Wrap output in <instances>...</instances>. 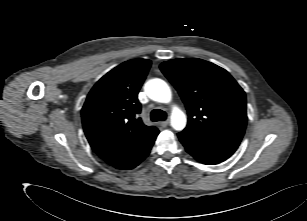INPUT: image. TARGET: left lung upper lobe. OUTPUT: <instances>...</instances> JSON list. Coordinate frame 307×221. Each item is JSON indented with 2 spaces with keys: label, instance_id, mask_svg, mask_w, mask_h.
Listing matches in <instances>:
<instances>
[{
  "label": "left lung upper lobe",
  "instance_id": "5c2ea615",
  "mask_svg": "<svg viewBox=\"0 0 307 221\" xmlns=\"http://www.w3.org/2000/svg\"><path fill=\"white\" fill-rule=\"evenodd\" d=\"M160 69L188 111L184 130L241 141L247 124L243 89L223 68L197 58L163 62Z\"/></svg>",
  "mask_w": 307,
  "mask_h": 221
}]
</instances>
